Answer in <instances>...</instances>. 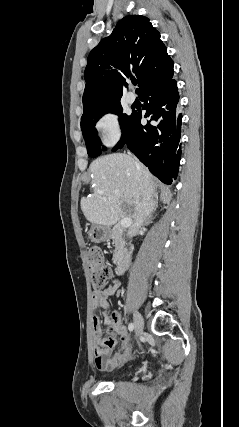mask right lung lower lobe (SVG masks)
I'll return each instance as SVG.
<instances>
[{
  "label": "right lung lower lobe",
  "mask_w": 239,
  "mask_h": 427,
  "mask_svg": "<svg viewBox=\"0 0 239 427\" xmlns=\"http://www.w3.org/2000/svg\"><path fill=\"white\" fill-rule=\"evenodd\" d=\"M173 73L140 91L139 98L145 103L144 117L149 121L142 125L141 115L132 113L124 142L150 172L167 185L176 178L181 157L182 114ZM122 147L115 146L113 151Z\"/></svg>",
  "instance_id": "1"
}]
</instances>
